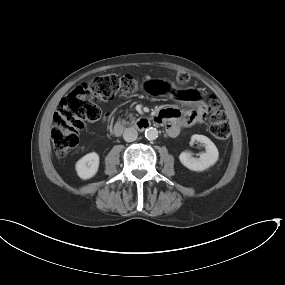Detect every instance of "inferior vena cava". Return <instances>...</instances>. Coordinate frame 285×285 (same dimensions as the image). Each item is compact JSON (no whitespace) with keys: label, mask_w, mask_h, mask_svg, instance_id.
Returning a JSON list of instances; mask_svg holds the SVG:
<instances>
[{"label":"inferior vena cava","mask_w":285,"mask_h":285,"mask_svg":"<svg viewBox=\"0 0 285 285\" xmlns=\"http://www.w3.org/2000/svg\"><path fill=\"white\" fill-rule=\"evenodd\" d=\"M137 137H138V132L135 128L129 127L125 129L124 134H123V138L125 141L132 142L136 140Z\"/></svg>","instance_id":"602c4592"}]
</instances>
